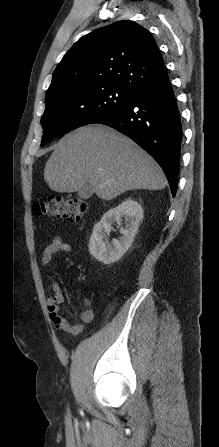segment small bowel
<instances>
[{"mask_svg":"<svg viewBox=\"0 0 219 447\" xmlns=\"http://www.w3.org/2000/svg\"><path fill=\"white\" fill-rule=\"evenodd\" d=\"M71 250L72 247L70 243L64 241L60 237H55L51 243L44 248L41 257V264H49L56 253H68ZM50 282L53 288V295L47 298V308L52 324L59 330H64L70 333H80L83 330V324L90 323L94 319V311L89 308L91 300L89 298H85L83 300V305L85 308L80 314L81 323H72L60 312V306L65 302L64 293L53 278L50 279Z\"/></svg>","mask_w":219,"mask_h":447,"instance_id":"1","label":"small bowel"}]
</instances>
